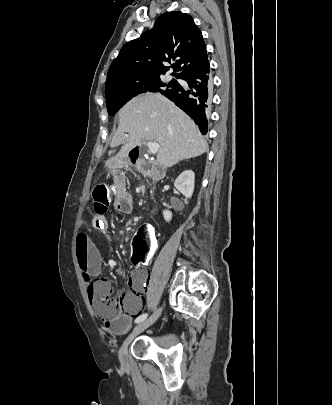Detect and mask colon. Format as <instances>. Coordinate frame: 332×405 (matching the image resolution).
Segmentation results:
<instances>
[{"label": "colon", "mask_w": 332, "mask_h": 405, "mask_svg": "<svg viewBox=\"0 0 332 405\" xmlns=\"http://www.w3.org/2000/svg\"><path fill=\"white\" fill-rule=\"evenodd\" d=\"M117 191V184L109 183H101L93 190V209L96 208L100 212L98 216H93L96 226L105 224L104 215L109 206H112V199L116 197L114 193ZM156 238V231H151L149 225H142L137 229L130 249L132 267H149L150 260L156 256L157 252ZM88 296L95 311L106 320L118 316L119 311L124 309L125 304L130 300L128 294L114 295L111 282L105 278H99L89 285Z\"/></svg>", "instance_id": "1"}]
</instances>
